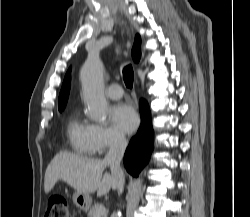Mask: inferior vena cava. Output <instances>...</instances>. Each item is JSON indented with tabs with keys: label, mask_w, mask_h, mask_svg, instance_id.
<instances>
[{
	"label": "inferior vena cava",
	"mask_w": 250,
	"mask_h": 217,
	"mask_svg": "<svg viewBox=\"0 0 250 217\" xmlns=\"http://www.w3.org/2000/svg\"><path fill=\"white\" fill-rule=\"evenodd\" d=\"M126 147V138L121 134L114 135L110 144L109 151L103 160L105 164L110 166L113 176L117 178L118 194H121L124 188L125 179L122 168L120 167V162L124 155Z\"/></svg>",
	"instance_id": "inferior-vena-cava-1"
}]
</instances>
